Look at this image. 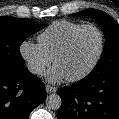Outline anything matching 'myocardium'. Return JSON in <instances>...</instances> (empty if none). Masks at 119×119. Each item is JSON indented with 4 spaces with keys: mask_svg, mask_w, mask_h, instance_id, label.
I'll return each mask as SVG.
<instances>
[{
    "mask_svg": "<svg viewBox=\"0 0 119 119\" xmlns=\"http://www.w3.org/2000/svg\"><path fill=\"white\" fill-rule=\"evenodd\" d=\"M87 29H94L99 34V37H100L99 51H98L95 59L93 60V62L90 64V66L86 70H84L82 73H80L76 76L66 78L70 82H78V81H81V80L85 79L86 77H88L95 70L97 65L99 64V62L103 56L104 50H105V35H104L103 31L98 26H96L94 24H85V25L81 26L80 28H78L76 31H74L69 36V38L66 40L64 45L57 51V53L55 54V56L53 58L54 65H56V62L58 61V59L60 57L65 55L70 50V48L73 45L77 36L81 32H83Z\"/></svg>",
    "mask_w": 119,
    "mask_h": 119,
    "instance_id": "obj_1",
    "label": "myocardium"
}]
</instances>
